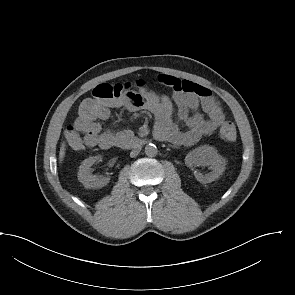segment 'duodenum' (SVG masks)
Returning <instances> with one entry per match:
<instances>
[{"label": "duodenum", "mask_w": 295, "mask_h": 295, "mask_svg": "<svg viewBox=\"0 0 295 295\" xmlns=\"http://www.w3.org/2000/svg\"><path fill=\"white\" fill-rule=\"evenodd\" d=\"M157 140L165 141V139L163 138H157ZM146 143V139L136 137L130 133H123L116 139L114 146H118L121 148H135L143 146Z\"/></svg>", "instance_id": "1"}]
</instances>
